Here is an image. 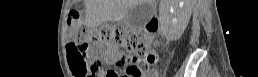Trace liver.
<instances>
[{
    "mask_svg": "<svg viewBox=\"0 0 258 77\" xmlns=\"http://www.w3.org/2000/svg\"><path fill=\"white\" fill-rule=\"evenodd\" d=\"M187 5L182 11L181 22L186 24L191 14V8L195 0H184ZM148 2L155 3L156 0H85L86 17L85 21L89 26L97 27L104 22H115L123 19L128 11L137 5ZM179 0H161L164 4L177 7Z\"/></svg>",
    "mask_w": 258,
    "mask_h": 77,
    "instance_id": "6515ba94",
    "label": "liver"
}]
</instances>
